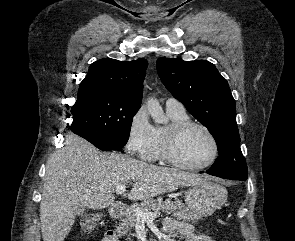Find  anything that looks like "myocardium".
Segmentation results:
<instances>
[{"label": "myocardium", "mask_w": 295, "mask_h": 241, "mask_svg": "<svg viewBox=\"0 0 295 241\" xmlns=\"http://www.w3.org/2000/svg\"><path fill=\"white\" fill-rule=\"evenodd\" d=\"M194 127L204 131L208 135V137L210 138L213 144V154L211 158L205 163L198 164V165L186 164L178 160L174 154V146L179 136L186 130L190 128H194ZM219 154H220V145L215 134L211 131L210 128H208L206 125L200 122H196L192 120L174 122V123H171L164 131L162 142H161V157L167 163L175 167H178L184 170H190V171L203 170L213 165L218 159Z\"/></svg>", "instance_id": "1"}]
</instances>
